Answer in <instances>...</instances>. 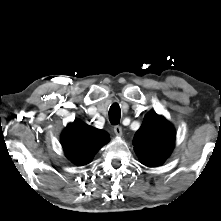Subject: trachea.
Wrapping results in <instances>:
<instances>
[{
    "instance_id": "trachea-1",
    "label": "trachea",
    "mask_w": 221,
    "mask_h": 221,
    "mask_svg": "<svg viewBox=\"0 0 221 221\" xmlns=\"http://www.w3.org/2000/svg\"><path fill=\"white\" fill-rule=\"evenodd\" d=\"M121 109L117 103L111 105L109 109V120L111 124L116 125L120 122Z\"/></svg>"
}]
</instances>
